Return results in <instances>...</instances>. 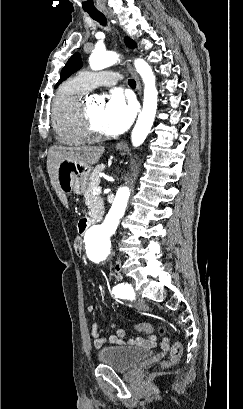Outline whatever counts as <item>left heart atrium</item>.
Listing matches in <instances>:
<instances>
[{
	"instance_id": "1",
	"label": "left heart atrium",
	"mask_w": 243,
	"mask_h": 409,
	"mask_svg": "<svg viewBox=\"0 0 243 409\" xmlns=\"http://www.w3.org/2000/svg\"><path fill=\"white\" fill-rule=\"evenodd\" d=\"M134 107L121 95L113 94L104 105L101 113V129L107 135H118L124 132L134 117Z\"/></svg>"
}]
</instances>
